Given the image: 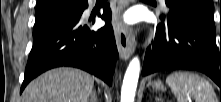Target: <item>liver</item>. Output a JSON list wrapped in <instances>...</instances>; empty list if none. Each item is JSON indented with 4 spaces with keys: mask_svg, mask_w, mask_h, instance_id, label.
<instances>
[{
    "mask_svg": "<svg viewBox=\"0 0 221 102\" xmlns=\"http://www.w3.org/2000/svg\"><path fill=\"white\" fill-rule=\"evenodd\" d=\"M93 85L94 79L82 70L56 68L28 84L22 102H89Z\"/></svg>",
    "mask_w": 221,
    "mask_h": 102,
    "instance_id": "obj_1",
    "label": "liver"
}]
</instances>
